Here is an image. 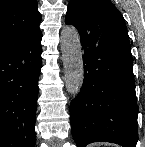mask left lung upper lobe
Segmentation results:
<instances>
[{
    "instance_id": "1",
    "label": "left lung upper lobe",
    "mask_w": 145,
    "mask_h": 147,
    "mask_svg": "<svg viewBox=\"0 0 145 147\" xmlns=\"http://www.w3.org/2000/svg\"><path fill=\"white\" fill-rule=\"evenodd\" d=\"M75 1H85V2H95V1H105V2H108L110 3L111 5H113L109 0H71L69 5L72 3V2H75ZM114 6V5H113Z\"/></svg>"
}]
</instances>
